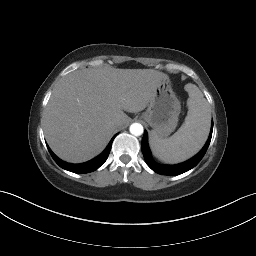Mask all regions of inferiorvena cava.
Returning a JSON list of instances; mask_svg holds the SVG:
<instances>
[{
  "mask_svg": "<svg viewBox=\"0 0 256 256\" xmlns=\"http://www.w3.org/2000/svg\"><path fill=\"white\" fill-rule=\"evenodd\" d=\"M111 126H112L113 128H118V127L120 126V121H119L118 119H113V120L111 121Z\"/></svg>",
  "mask_w": 256,
  "mask_h": 256,
  "instance_id": "inferior-vena-cava-1",
  "label": "inferior vena cava"
}]
</instances>
